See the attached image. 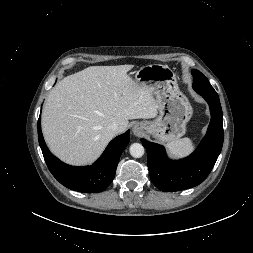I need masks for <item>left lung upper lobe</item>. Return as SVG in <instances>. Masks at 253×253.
Returning a JSON list of instances; mask_svg holds the SVG:
<instances>
[{
  "mask_svg": "<svg viewBox=\"0 0 253 253\" xmlns=\"http://www.w3.org/2000/svg\"><path fill=\"white\" fill-rule=\"evenodd\" d=\"M192 75L194 77L193 88L197 93L218 96L208 79L200 71L193 69Z\"/></svg>",
  "mask_w": 253,
  "mask_h": 253,
  "instance_id": "1",
  "label": "left lung upper lobe"
}]
</instances>
